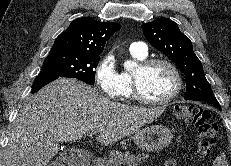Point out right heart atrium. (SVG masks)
Returning a JSON list of instances; mask_svg holds the SVG:
<instances>
[{
  "label": "right heart atrium",
  "mask_w": 231,
  "mask_h": 166,
  "mask_svg": "<svg viewBox=\"0 0 231 166\" xmlns=\"http://www.w3.org/2000/svg\"><path fill=\"white\" fill-rule=\"evenodd\" d=\"M94 78L97 87L107 98L118 100L125 96L122 74L117 69L112 52L100 58L94 70Z\"/></svg>",
  "instance_id": "d8ad5b80"
}]
</instances>
